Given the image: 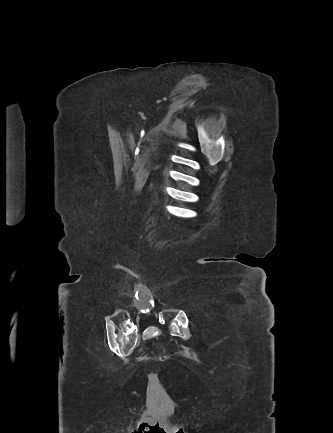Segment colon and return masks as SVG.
<instances>
[{
	"label": "colon",
	"mask_w": 333,
	"mask_h": 433,
	"mask_svg": "<svg viewBox=\"0 0 333 433\" xmlns=\"http://www.w3.org/2000/svg\"><path fill=\"white\" fill-rule=\"evenodd\" d=\"M156 396L160 399V398H166L167 395L165 393V391L163 390V388H158V390L156 391Z\"/></svg>",
	"instance_id": "1"
}]
</instances>
